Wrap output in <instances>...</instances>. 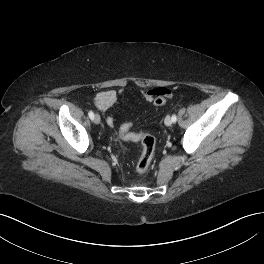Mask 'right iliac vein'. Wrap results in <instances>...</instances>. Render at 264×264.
I'll return each mask as SVG.
<instances>
[{"mask_svg":"<svg viewBox=\"0 0 264 264\" xmlns=\"http://www.w3.org/2000/svg\"><path fill=\"white\" fill-rule=\"evenodd\" d=\"M100 121H101L100 116H99L98 114H95V115H94V123H95V124H99Z\"/></svg>","mask_w":264,"mask_h":264,"instance_id":"obj_1","label":"right iliac vein"}]
</instances>
